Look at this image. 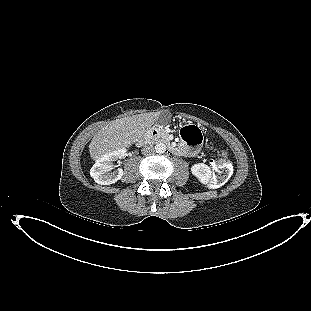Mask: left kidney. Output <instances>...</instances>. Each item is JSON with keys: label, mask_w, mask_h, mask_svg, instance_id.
<instances>
[{"label": "left kidney", "mask_w": 311, "mask_h": 311, "mask_svg": "<svg viewBox=\"0 0 311 311\" xmlns=\"http://www.w3.org/2000/svg\"><path fill=\"white\" fill-rule=\"evenodd\" d=\"M191 172L203 184H207L212 175L211 168L204 163L194 164L191 167Z\"/></svg>", "instance_id": "5707ae66"}]
</instances>
